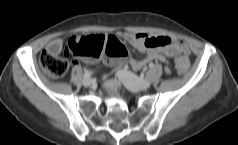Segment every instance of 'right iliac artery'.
I'll list each match as a JSON object with an SVG mask.
<instances>
[{
    "mask_svg": "<svg viewBox=\"0 0 238 145\" xmlns=\"http://www.w3.org/2000/svg\"><path fill=\"white\" fill-rule=\"evenodd\" d=\"M91 75H92L91 71H85L83 76L84 78H89Z\"/></svg>",
    "mask_w": 238,
    "mask_h": 145,
    "instance_id": "82829eb1",
    "label": "right iliac artery"
}]
</instances>
